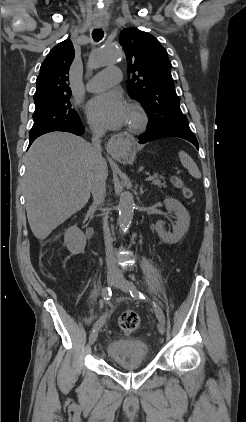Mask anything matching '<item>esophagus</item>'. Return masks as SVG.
<instances>
[{
    "instance_id": "esophagus-1",
    "label": "esophagus",
    "mask_w": 246,
    "mask_h": 422,
    "mask_svg": "<svg viewBox=\"0 0 246 422\" xmlns=\"http://www.w3.org/2000/svg\"><path fill=\"white\" fill-rule=\"evenodd\" d=\"M121 148L122 140L119 136L112 137L106 145L107 152L113 156L118 154Z\"/></svg>"
}]
</instances>
